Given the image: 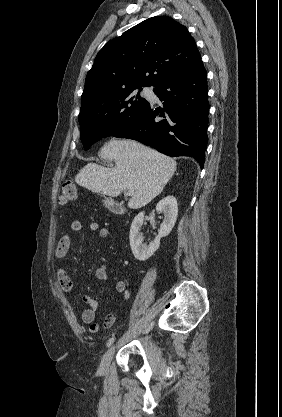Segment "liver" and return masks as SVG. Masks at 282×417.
I'll use <instances>...</instances> for the list:
<instances>
[{"mask_svg": "<svg viewBox=\"0 0 282 417\" xmlns=\"http://www.w3.org/2000/svg\"><path fill=\"white\" fill-rule=\"evenodd\" d=\"M107 160L116 162L106 168L96 162L85 164L75 176V182L100 194L118 196L122 190H133L129 209H141L162 192L173 176L177 162L137 140H109L101 150Z\"/></svg>", "mask_w": 282, "mask_h": 417, "instance_id": "6515ba94", "label": "liver"}]
</instances>
